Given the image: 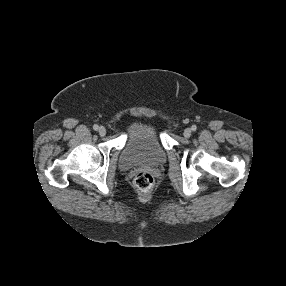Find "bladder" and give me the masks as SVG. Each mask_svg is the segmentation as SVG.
<instances>
[{
  "label": "bladder",
  "mask_w": 286,
  "mask_h": 286,
  "mask_svg": "<svg viewBox=\"0 0 286 286\" xmlns=\"http://www.w3.org/2000/svg\"><path fill=\"white\" fill-rule=\"evenodd\" d=\"M165 159L166 153L159 142L155 126L144 121L135 123L128 134L121 165L125 168L158 166Z\"/></svg>",
  "instance_id": "1"
}]
</instances>
